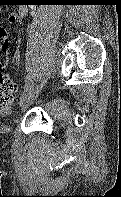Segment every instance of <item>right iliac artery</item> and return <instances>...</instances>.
<instances>
[{"label":"right iliac artery","mask_w":121,"mask_h":197,"mask_svg":"<svg viewBox=\"0 0 121 197\" xmlns=\"http://www.w3.org/2000/svg\"><path fill=\"white\" fill-rule=\"evenodd\" d=\"M34 87V75L30 74L27 76L25 89L21 97V102L27 98V96L31 93Z\"/></svg>","instance_id":"right-iliac-artery-1"}]
</instances>
